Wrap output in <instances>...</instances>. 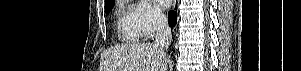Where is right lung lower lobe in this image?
<instances>
[{"instance_id":"right-lung-lower-lobe-1","label":"right lung lower lobe","mask_w":301,"mask_h":71,"mask_svg":"<svg viewBox=\"0 0 301 71\" xmlns=\"http://www.w3.org/2000/svg\"><path fill=\"white\" fill-rule=\"evenodd\" d=\"M168 22L171 28L174 26L176 22V12L175 11H170L168 15Z\"/></svg>"}]
</instances>
